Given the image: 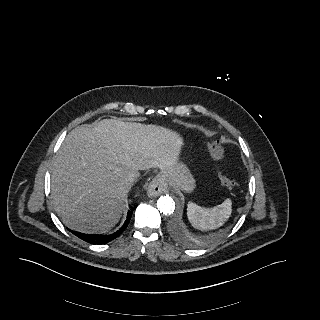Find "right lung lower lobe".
<instances>
[{
    "instance_id": "1",
    "label": "right lung lower lobe",
    "mask_w": 320,
    "mask_h": 320,
    "mask_svg": "<svg viewBox=\"0 0 320 320\" xmlns=\"http://www.w3.org/2000/svg\"><path fill=\"white\" fill-rule=\"evenodd\" d=\"M132 211H128V215H127V219L124 223V225L114 234L111 235H98V234H84V233H80V232H76V231H72L69 230L70 232H72L74 235H76L77 237H79L80 239L91 243V244H105L108 243L110 241H112L113 239H115L116 237H118L127 227L131 216H132Z\"/></svg>"
}]
</instances>
